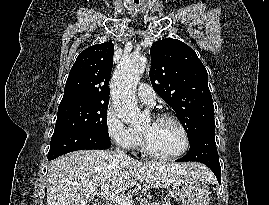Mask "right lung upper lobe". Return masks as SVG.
Masks as SVG:
<instances>
[{
    "instance_id": "cb5924a9",
    "label": "right lung upper lobe",
    "mask_w": 269,
    "mask_h": 205,
    "mask_svg": "<svg viewBox=\"0 0 269 205\" xmlns=\"http://www.w3.org/2000/svg\"><path fill=\"white\" fill-rule=\"evenodd\" d=\"M111 42L82 51L73 64L59 106L77 103H109L108 83L113 65Z\"/></svg>"
}]
</instances>
